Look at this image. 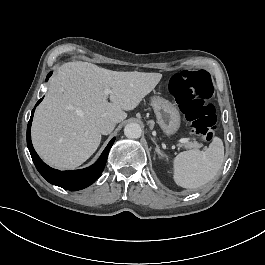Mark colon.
I'll return each instance as SVG.
<instances>
[{
	"label": "colon",
	"instance_id": "obj_1",
	"mask_svg": "<svg viewBox=\"0 0 265 265\" xmlns=\"http://www.w3.org/2000/svg\"><path fill=\"white\" fill-rule=\"evenodd\" d=\"M169 90L180 101L189 129L203 141L212 140L216 116L211 99L215 89L210 77L195 68L187 67L171 78Z\"/></svg>",
	"mask_w": 265,
	"mask_h": 265
}]
</instances>
